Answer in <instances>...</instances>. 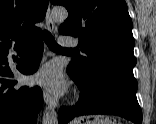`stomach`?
Instances as JSON below:
<instances>
[{"label":"stomach","instance_id":"stomach-1","mask_svg":"<svg viewBox=\"0 0 156 124\" xmlns=\"http://www.w3.org/2000/svg\"><path fill=\"white\" fill-rule=\"evenodd\" d=\"M82 122V123H81ZM71 124H115L114 122L110 121L109 119H94L93 121L86 120V121H81V120H74L71 122Z\"/></svg>","mask_w":156,"mask_h":124}]
</instances>
